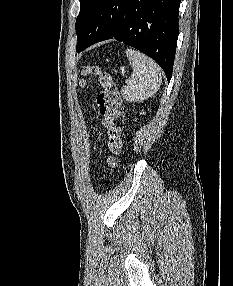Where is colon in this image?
Segmentation results:
<instances>
[{
  "instance_id": "obj_1",
  "label": "colon",
  "mask_w": 233,
  "mask_h": 286,
  "mask_svg": "<svg viewBox=\"0 0 233 286\" xmlns=\"http://www.w3.org/2000/svg\"><path fill=\"white\" fill-rule=\"evenodd\" d=\"M84 76L93 74L97 76L100 93L97 97L103 125L106 128L110 155L107 166L114 169L118 164V156L122 150V130L124 126V105L113 76L98 66H83L80 70Z\"/></svg>"
}]
</instances>
